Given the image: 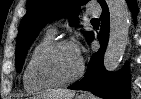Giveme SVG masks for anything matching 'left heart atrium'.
<instances>
[{
	"label": "left heart atrium",
	"instance_id": "obj_1",
	"mask_svg": "<svg viewBox=\"0 0 141 99\" xmlns=\"http://www.w3.org/2000/svg\"><path fill=\"white\" fill-rule=\"evenodd\" d=\"M73 48H74V51H75L76 55L78 56V58L81 59V54H82L81 46L79 44H77V45H74Z\"/></svg>",
	"mask_w": 141,
	"mask_h": 99
}]
</instances>
